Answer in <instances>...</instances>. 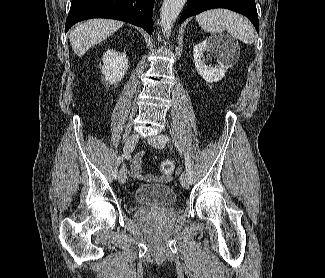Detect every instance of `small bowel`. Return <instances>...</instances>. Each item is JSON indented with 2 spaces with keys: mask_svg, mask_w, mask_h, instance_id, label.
<instances>
[{
  "mask_svg": "<svg viewBox=\"0 0 325 278\" xmlns=\"http://www.w3.org/2000/svg\"><path fill=\"white\" fill-rule=\"evenodd\" d=\"M142 153H138L132 160L130 165V173L134 179H141V158Z\"/></svg>",
  "mask_w": 325,
  "mask_h": 278,
  "instance_id": "small-bowel-1",
  "label": "small bowel"
}]
</instances>
